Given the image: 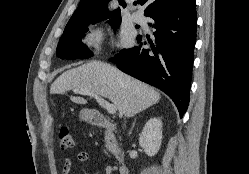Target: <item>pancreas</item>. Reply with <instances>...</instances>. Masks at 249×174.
I'll return each instance as SVG.
<instances>
[{
    "label": "pancreas",
    "instance_id": "pancreas-1",
    "mask_svg": "<svg viewBox=\"0 0 249 174\" xmlns=\"http://www.w3.org/2000/svg\"><path fill=\"white\" fill-rule=\"evenodd\" d=\"M106 148H107L109 151H114V150H115V148H114V149H111L109 145H106Z\"/></svg>",
    "mask_w": 249,
    "mask_h": 174
}]
</instances>
